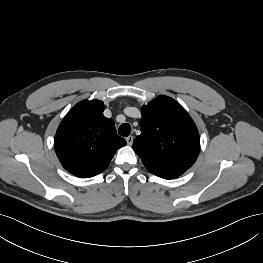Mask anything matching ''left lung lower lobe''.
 Segmentation results:
<instances>
[{"instance_id":"left-lung-lower-lobe-1","label":"left lung lower lobe","mask_w":263,"mask_h":263,"mask_svg":"<svg viewBox=\"0 0 263 263\" xmlns=\"http://www.w3.org/2000/svg\"><path fill=\"white\" fill-rule=\"evenodd\" d=\"M177 177H178V175L171 173V174L168 175V178H165V179H174V178H177Z\"/></svg>"}]
</instances>
